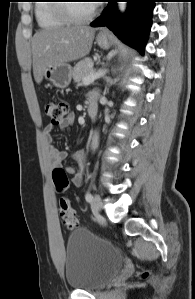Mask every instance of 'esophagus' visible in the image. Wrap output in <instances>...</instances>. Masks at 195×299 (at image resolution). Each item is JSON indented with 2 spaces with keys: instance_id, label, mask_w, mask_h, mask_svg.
I'll use <instances>...</instances> for the list:
<instances>
[{
  "instance_id": "1",
  "label": "esophagus",
  "mask_w": 195,
  "mask_h": 299,
  "mask_svg": "<svg viewBox=\"0 0 195 299\" xmlns=\"http://www.w3.org/2000/svg\"><path fill=\"white\" fill-rule=\"evenodd\" d=\"M105 33H106V31H105V30L101 31V34H102V35H104Z\"/></svg>"
}]
</instances>
